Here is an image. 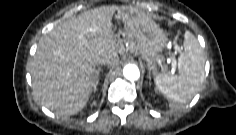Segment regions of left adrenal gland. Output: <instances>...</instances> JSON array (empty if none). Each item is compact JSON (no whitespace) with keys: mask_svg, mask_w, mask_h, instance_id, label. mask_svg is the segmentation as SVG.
Wrapping results in <instances>:
<instances>
[{"mask_svg":"<svg viewBox=\"0 0 236 135\" xmlns=\"http://www.w3.org/2000/svg\"><path fill=\"white\" fill-rule=\"evenodd\" d=\"M149 79H151L150 73H149Z\"/></svg>","mask_w":236,"mask_h":135,"instance_id":"obj_1","label":"left adrenal gland"}]
</instances>
